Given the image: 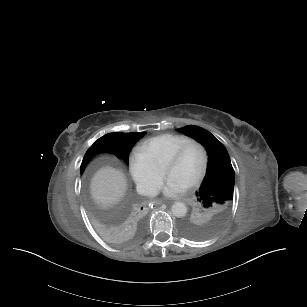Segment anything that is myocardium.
Masks as SVG:
<instances>
[{"instance_id":"1","label":"myocardium","mask_w":307,"mask_h":307,"mask_svg":"<svg viewBox=\"0 0 307 307\" xmlns=\"http://www.w3.org/2000/svg\"><path fill=\"white\" fill-rule=\"evenodd\" d=\"M192 144H199L203 150L204 154V163L202 170L200 173L188 184V187H194L201 183V181L205 178L208 169H209V152L208 148L205 145V143L199 139H190L183 143L173 154L169 155L163 162L164 171L167 165L179 161L183 155L185 154L186 150L192 145Z\"/></svg>"}]
</instances>
